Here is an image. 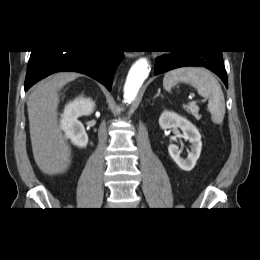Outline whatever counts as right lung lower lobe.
<instances>
[{"mask_svg": "<svg viewBox=\"0 0 260 260\" xmlns=\"http://www.w3.org/2000/svg\"><path fill=\"white\" fill-rule=\"evenodd\" d=\"M123 51H31L25 91L39 80L58 71L86 74L111 89L112 79Z\"/></svg>", "mask_w": 260, "mask_h": 260, "instance_id": "obj_1", "label": "right lung lower lobe"}]
</instances>
